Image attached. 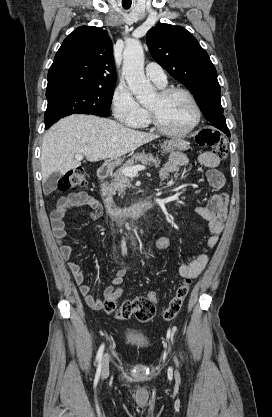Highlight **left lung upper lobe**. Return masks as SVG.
<instances>
[{
	"instance_id": "5c2ea615",
	"label": "left lung upper lobe",
	"mask_w": 272,
	"mask_h": 417,
	"mask_svg": "<svg viewBox=\"0 0 272 417\" xmlns=\"http://www.w3.org/2000/svg\"><path fill=\"white\" fill-rule=\"evenodd\" d=\"M146 41L155 61L192 92L204 117L228 136L217 72L197 39L181 26L160 23Z\"/></svg>"
}]
</instances>
